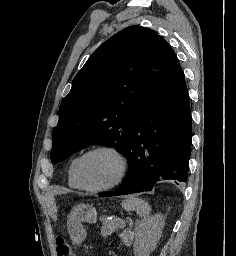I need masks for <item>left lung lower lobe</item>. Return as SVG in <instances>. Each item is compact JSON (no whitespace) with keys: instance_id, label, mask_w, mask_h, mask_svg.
Instances as JSON below:
<instances>
[{"instance_id":"left-lung-lower-lobe-1","label":"left lung lower lobe","mask_w":236,"mask_h":256,"mask_svg":"<svg viewBox=\"0 0 236 256\" xmlns=\"http://www.w3.org/2000/svg\"><path fill=\"white\" fill-rule=\"evenodd\" d=\"M191 136L189 96L183 77L134 122L124 154L129 164L127 175L116 191L99 196L151 191L162 179L186 182Z\"/></svg>"}]
</instances>
